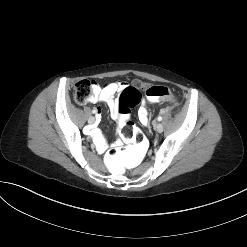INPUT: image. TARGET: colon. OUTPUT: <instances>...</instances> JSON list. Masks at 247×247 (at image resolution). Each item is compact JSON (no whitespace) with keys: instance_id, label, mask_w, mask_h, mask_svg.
Listing matches in <instances>:
<instances>
[{"instance_id":"5ec220e1","label":"colon","mask_w":247,"mask_h":247,"mask_svg":"<svg viewBox=\"0 0 247 247\" xmlns=\"http://www.w3.org/2000/svg\"><path fill=\"white\" fill-rule=\"evenodd\" d=\"M92 88L93 82L89 80L77 82L73 92L74 99L80 104L87 102L92 95ZM140 88L146 89V96L152 102L172 99V93L167 87L145 86L139 81L121 92L118 99V111L122 117L118 131L128 144L125 149L112 148L105 152L104 168L112 176L125 177L132 173L149 152L147 137L127 119L131 109L140 102Z\"/></svg>"}]
</instances>
